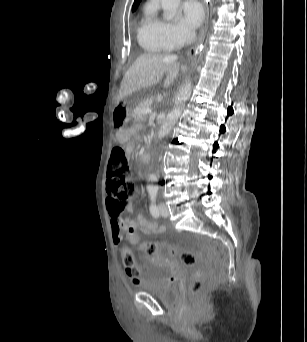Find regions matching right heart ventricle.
<instances>
[{"label":"right heart ventricle","mask_w":307,"mask_h":342,"mask_svg":"<svg viewBox=\"0 0 307 342\" xmlns=\"http://www.w3.org/2000/svg\"><path fill=\"white\" fill-rule=\"evenodd\" d=\"M141 50L147 54H158L167 50V44L155 34L139 33L137 36Z\"/></svg>","instance_id":"obj_1"}]
</instances>
